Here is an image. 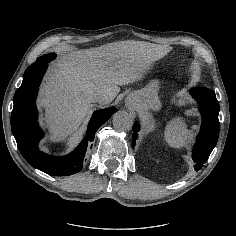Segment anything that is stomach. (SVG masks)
Returning a JSON list of instances; mask_svg holds the SVG:
<instances>
[{"mask_svg":"<svg viewBox=\"0 0 236 236\" xmlns=\"http://www.w3.org/2000/svg\"><path fill=\"white\" fill-rule=\"evenodd\" d=\"M158 82L153 81L148 87L139 90L136 95L138 102L144 109L158 110L160 108V101L157 95Z\"/></svg>","mask_w":236,"mask_h":236,"instance_id":"obj_1","label":"stomach"}]
</instances>
